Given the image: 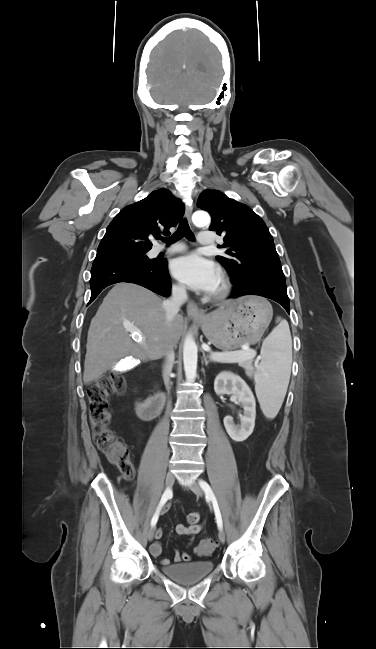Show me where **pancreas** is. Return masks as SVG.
Returning a JSON list of instances; mask_svg holds the SVG:
<instances>
[{
	"mask_svg": "<svg viewBox=\"0 0 376 649\" xmlns=\"http://www.w3.org/2000/svg\"><path fill=\"white\" fill-rule=\"evenodd\" d=\"M236 352L241 353V354L247 353L246 350H239V351H236ZM217 353L218 352H213L212 354H217ZM238 364H239L240 367H243V368L248 369V370H253V360L252 359H248V360H245V361H242V362H238Z\"/></svg>",
	"mask_w": 376,
	"mask_h": 649,
	"instance_id": "obj_1",
	"label": "pancreas"
}]
</instances>
